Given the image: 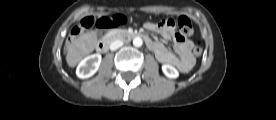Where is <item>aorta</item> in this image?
Masks as SVG:
<instances>
[{
	"label": "aorta",
	"instance_id": "obj_1",
	"mask_svg": "<svg viewBox=\"0 0 276 120\" xmlns=\"http://www.w3.org/2000/svg\"><path fill=\"white\" fill-rule=\"evenodd\" d=\"M142 44H143L142 38H140V37H135V38L133 39V45H134L135 47H141Z\"/></svg>",
	"mask_w": 276,
	"mask_h": 120
}]
</instances>
